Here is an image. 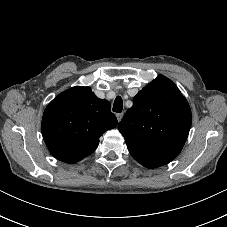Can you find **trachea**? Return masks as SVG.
<instances>
[{"instance_id":"obj_1","label":"trachea","mask_w":227,"mask_h":227,"mask_svg":"<svg viewBox=\"0 0 227 227\" xmlns=\"http://www.w3.org/2000/svg\"><path fill=\"white\" fill-rule=\"evenodd\" d=\"M122 109H123L122 98L120 96H117L115 101H114V105H113V109L112 110L114 112L120 113V112H122Z\"/></svg>"}]
</instances>
